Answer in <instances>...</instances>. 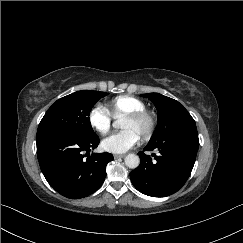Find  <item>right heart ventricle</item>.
<instances>
[{"instance_id": "e07e8e85", "label": "right heart ventricle", "mask_w": 243, "mask_h": 243, "mask_svg": "<svg viewBox=\"0 0 243 243\" xmlns=\"http://www.w3.org/2000/svg\"><path fill=\"white\" fill-rule=\"evenodd\" d=\"M108 109L112 116L119 118L128 114L144 111L145 104L138 98L129 95H120L110 100Z\"/></svg>"}]
</instances>
